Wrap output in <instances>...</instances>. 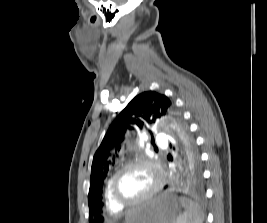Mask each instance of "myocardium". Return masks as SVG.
<instances>
[{
  "label": "myocardium",
  "mask_w": 267,
  "mask_h": 223,
  "mask_svg": "<svg viewBox=\"0 0 267 223\" xmlns=\"http://www.w3.org/2000/svg\"><path fill=\"white\" fill-rule=\"evenodd\" d=\"M137 165H143L151 169L155 175V183L152 189L139 199L133 201H125L121 199L116 192V181L122 172H124L129 167ZM163 183H164V173L157 163L146 157H136L127 161L112 175L109 182V189L111 196L116 204H118L121 207L130 208L143 204L148 200H150L151 198H153L162 189Z\"/></svg>",
  "instance_id": "f54148a6"
}]
</instances>
